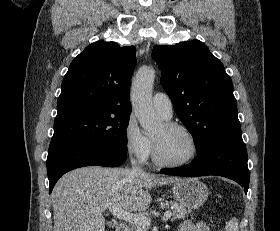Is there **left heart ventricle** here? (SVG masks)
<instances>
[{"instance_id":"left-heart-ventricle-1","label":"left heart ventricle","mask_w":280,"mask_h":231,"mask_svg":"<svg viewBox=\"0 0 280 231\" xmlns=\"http://www.w3.org/2000/svg\"><path fill=\"white\" fill-rule=\"evenodd\" d=\"M160 155L169 161L188 158L193 152L190 137L182 131L169 128L164 123L152 135Z\"/></svg>"}]
</instances>
